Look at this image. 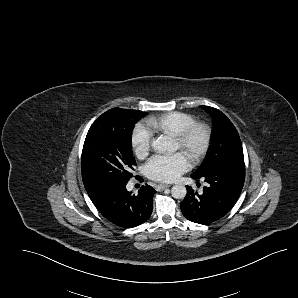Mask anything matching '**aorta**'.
Segmentation results:
<instances>
[{
  "label": "aorta",
  "mask_w": 298,
  "mask_h": 298,
  "mask_svg": "<svg viewBox=\"0 0 298 298\" xmlns=\"http://www.w3.org/2000/svg\"><path fill=\"white\" fill-rule=\"evenodd\" d=\"M152 147L160 154L175 153L178 149L177 141L167 135H160L154 141H152ZM187 189L184 185L176 184L171 187V195L176 199H182L186 196Z\"/></svg>",
  "instance_id": "obj_1"
}]
</instances>
